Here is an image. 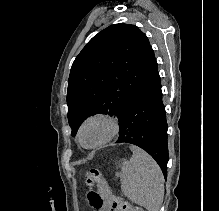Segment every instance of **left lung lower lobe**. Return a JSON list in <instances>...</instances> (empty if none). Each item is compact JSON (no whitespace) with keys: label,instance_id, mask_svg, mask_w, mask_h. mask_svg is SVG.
<instances>
[{"label":"left lung lower lobe","instance_id":"obj_1","mask_svg":"<svg viewBox=\"0 0 219 211\" xmlns=\"http://www.w3.org/2000/svg\"><path fill=\"white\" fill-rule=\"evenodd\" d=\"M116 143H130L150 154L167 177L168 146L165 107L158 70L129 101Z\"/></svg>","mask_w":219,"mask_h":211}]
</instances>
